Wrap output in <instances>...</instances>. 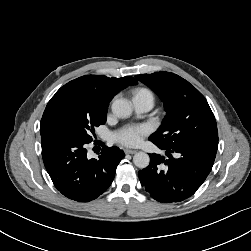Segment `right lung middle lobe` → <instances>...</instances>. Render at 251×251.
I'll use <instances>...</instances> for the list:
<instances>
[{"label": "right lung middle lobe", "instance_id": "dd1d6c3e", "mask_svg": "<svg viewBox=\"0 0 251 251\" xmlns=\"http://www.w3.org/2000/svg\"><path fill=\"white\" fill-rule=\"evenodd\" d=\"M107 110L89 93L64 85L46 106L40 134H64L90 143L95 134L94 128L105 124Z\"/></svg>", "mask_w": 251, "mask_h": 251}]
</instances>
